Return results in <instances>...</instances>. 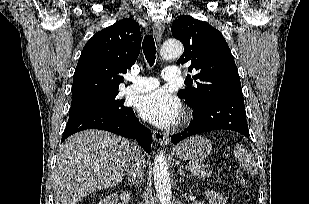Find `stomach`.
Here are the masks:
<instances>
[{"label": "stomach", "mask_w": 309, "mask_h": 204, "mask_svg": "<svg viewBox=\"0 0 309 204\" xmlns=\"http://www.w3.org/2000/svg\"><path fill=\"white\" fill-rule=\"evenodd\" d=\"M212 143L197 135L180 142L174 149L177 158L198 162L205 159L212 151Z\"/></svg>", "instance_id": "obj_1"}]
</instances>
